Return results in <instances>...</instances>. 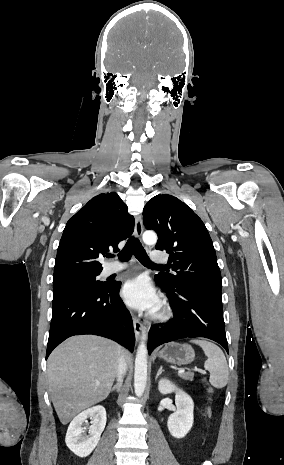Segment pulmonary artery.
<instances>
[{"label": "pulmonary artery", "mask_w": 284, "mask_h": 465, "mask_svg": "<svg viewBox=\"0 0 284 465\" xmlns=\"http://www.w3.org/2000/svg\"><path fill=\"white\" fill-rule=\"evenodd\" d=\"M150 260L152 263H168L169 262V255L164 254L162 250H153L151 253ZM127 267L126 264L122 263H114L110 266H107L104 269L105 274H113L118 271L124 270Z\"/></svg>", "instance_id": "1"}]
</instances>
